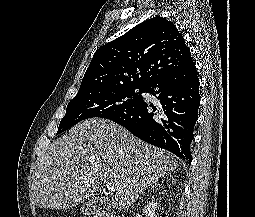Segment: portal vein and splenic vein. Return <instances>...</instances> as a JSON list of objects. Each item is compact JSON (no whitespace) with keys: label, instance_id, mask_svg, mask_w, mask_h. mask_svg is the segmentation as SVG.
I'll list each match as a JSON object with an SVG mask.
<instances>
[{"label":"portal vein and splenic vein","instance_id":"portal-vein-and-splenic-vein-1","mask_svg":"<svg viewBox=\"0 0 255 217\" xmlns=\"http://www.w3.org/2000/svg\"><path fill=\"white\" fill-rule=\"evenodd\" d=\"M106 187L108 191H111V192H114L116 190L115 187L108 181H106Z\"/></svg>","mask_w":255,"mask_h":217}]
</instances>
